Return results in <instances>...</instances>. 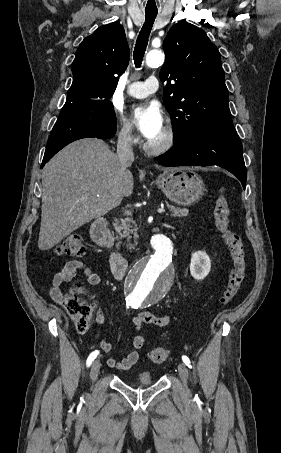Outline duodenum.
Here are the masks:
<instances>
[{
  "instance_id": "duodenum-1",
  "label": "duodenum",
  "mask_w": 281,
  "mask_h": 453,
  "mask_svg": "<svg viewBox=\"0 0 281 453\" xmlns=\"http://www.w3.org/2000/svg\"><path fill=\"white\" fill-rule=\"evenodd\" d=\"M92 239L101 247L110 248L112 246V236L105 220H98L94 223L91 231ZM111 271L116 279H122L128 271L127 259L118 252H112L110 257Z\"/></svg>"
}]
</instances>
